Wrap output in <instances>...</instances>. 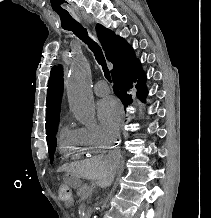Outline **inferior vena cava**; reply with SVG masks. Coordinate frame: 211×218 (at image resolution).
<instances>
[{
    "mask_svg": "<svg viewBox=\"0 0 211 218\" xmlns=\"http://www.w3.org/2000/svg\"><path fill=\"white\" fill-rule=\"evenodd\" d=\"M119 154L118 152H114V154H109L108 158H112V160H115V158H118ZM113 178H109L108 182H106L105 186H110L112 184Z\"/></svg>",
    "mask_w": 211,
    "mask_h": 218,
    "instance_id": "obj_1",
    "label": "inferior vena cava"
}]
</instances>
